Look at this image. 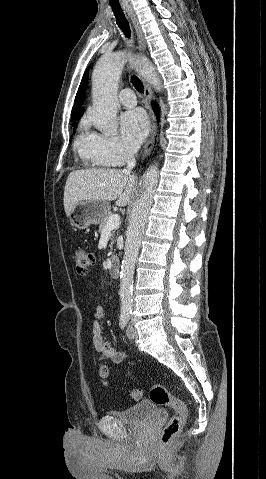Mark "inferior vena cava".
<instances>
[{
  "mask_svg": "<svg viewBox=\"0 0 266 479\" xmlns=\"http://www.w3.org/2000/svg\"><path fill=\"white\" fill-rule=\"evenodd\" d=\"M126 163H127V167H126V169L123 170V172L126 173V174H130L131 170L136 165V160H135L133 152H128L126 154Z\"/></svg>",
  "mask_w": 266,
  "mask_h": 479,
  "instance_id": "inferior-vena-cava-1",
  "label": "inferior vena cava"
}]
</instances>
